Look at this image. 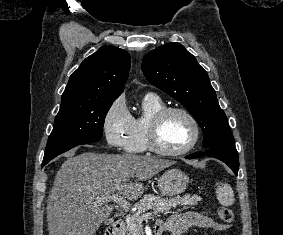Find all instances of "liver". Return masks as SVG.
<instances>
[{"mask_svg": "<svg viewBox=\"0 0 283 235\" xmlns=\"http://www.w3.org/2000/svg\"><path fill=\"white\" fill-rule=\"evenodd\" d=\"M74 154L57 172L48 197L49 235H94L114 209L99 199L119 194L135 201L143 194L142 181L175 164L136 154Z\"/></svg>", "mask_w": 283, "mask_h": 235, "instance_id": "6515ba94", "label": "liver"}]
</instances>
